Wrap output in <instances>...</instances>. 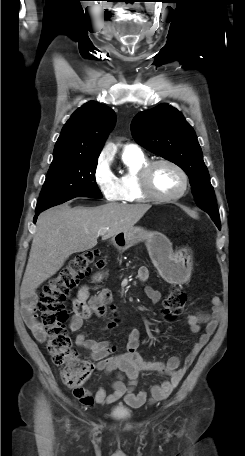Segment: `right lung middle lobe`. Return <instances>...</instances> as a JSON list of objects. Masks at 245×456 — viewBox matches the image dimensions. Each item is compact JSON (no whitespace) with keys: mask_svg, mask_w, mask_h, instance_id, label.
<instances>
[{"mask_svg":"<svg viewBox=\"0 0 245 456\" xmlns=\"http://www.w3.org/2000/svg\"><path fill=\"white\" fill-rule=\"evenodd\" d=\"M98 158H72L51 163L36 212L75 197L102 198L95 181Z\"/></svg>","mask_w":245,"mask_h":456,"instance_id":"obj_1","label":"right lung middle lobe"}]
</instances>
